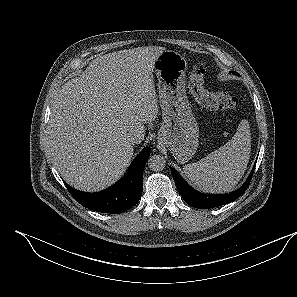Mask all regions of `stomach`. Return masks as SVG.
I'll return each mask as SVG.
<instances>
[{
  "label": "stomach",
  "instance_id": "1",
  "mask_svg": "<svg viewBox=\"0 0 297 297\" xmlns=\"http://www.w3.org/2000/svg\"><path fill=\"white\" fill-rule=\"evenodd\" d=\"M187 62L176 51L165 50L156 59L153 73L158 80L163 122L158 140L166 145L177 162L184 164L196 153L198 123L185 90Z\"/></svg>",
  "mask_w": 297,
  "mask_h": 297
}]
</instances>
